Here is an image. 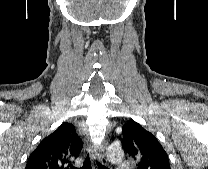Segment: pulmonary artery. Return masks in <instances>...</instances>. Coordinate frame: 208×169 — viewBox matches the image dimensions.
Returning <instances> with one entry per match:
<instances>
[{
  "mask_svg": "<svg viewBox=\"0 0 208 169\" xmlns=\"http://www.w3.org/2000/svg\"><path fill=\"white\" fill-rule=\"evenodd\" d=\"M131 164L129 162H121L117 165V169H131Z\"/></svg>",
  "mask_w": 208,
  "mask_h": 169,
  "instance_id": "1",
  "label": "pulmonary artery"
}]
</instances>
